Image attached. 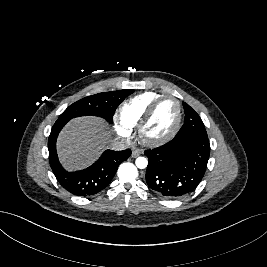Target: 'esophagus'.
<instances>
[{
  "mask_svg": "<svg viewBox=\"0 0 267 267\" xmlns=\"http://www.w3.org/2000/svg\"><path fill=\"white\" fill-rule=\"evenodd\" d=\"M140 154H141V151L138 150V149H134V150L132 151V157H133V158L138 157Z\"/></svg>",
  "mask_w": 267,
  "mask_h": 267,
  "instance_id": "esophagus-1",
  "label": "esophagus"
}]
</instances>
